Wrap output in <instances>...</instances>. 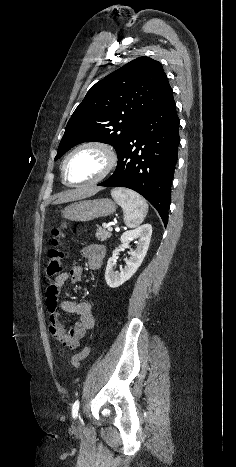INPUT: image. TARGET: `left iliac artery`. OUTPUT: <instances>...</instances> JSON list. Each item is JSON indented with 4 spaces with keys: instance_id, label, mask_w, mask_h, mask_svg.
Masks as SVG:
<instances>
[{
    "instance_id": "obj_1",
    "label": "left iliac artery",
    "mask_w": 236,
    "mask_h": 467,
    "mask_svg": "<svg viewBox=\"0 0 236 467\" xmlns=\"http://www.w3.org/2000/svg\"><path fill=\"white\" fill-rule=\"evenodd\" d=\"M78 410H79V400H76L72 406L73 418H76L78 416Z\"/></svg>"
}]
</instances>
